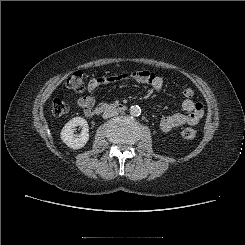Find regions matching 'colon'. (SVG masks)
Here are the masks:
<instances>
[{"mask_svg":"<svg viewBox=\"0 0 245 245\" xmlns=\"http://www.w3.org/2000/svg\"><path fill=\"white\" fill-rule=\"evenodd\" d=\"M66 85L71 90L82 91L85 87L83 74L81 72L73 73L70 77H68ZM182 94L184 97H192L194 93L191 88H185L183 89ZM51 110L53 115L63 116L68 112L69 107L65 101L57 98L53 101ZM182 136L186 139H192L196 136V130L190 127L185 128L182 131Z\"/></svg>","mask_w":245,"mask_h":245,"instance_id":"5ec220e1","label":"colon"}]
</instances>
